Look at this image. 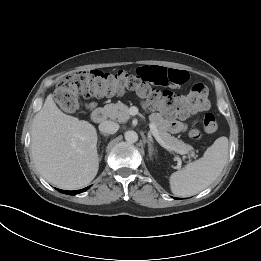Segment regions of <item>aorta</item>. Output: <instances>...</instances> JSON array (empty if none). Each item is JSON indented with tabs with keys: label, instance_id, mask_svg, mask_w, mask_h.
Segmentation results:
<instances>
[{
	"label": "aorta",
	"instance_id": "obj_1",
	"mask_svg": "<svg viewBox=\"0 0 261 261\" xmlns=\"http://www.w3.org/2000/svg\"><path fill=\"white\" fill-rule=\"evenodd\" d=\"M124 137L129 143H135L138 141V134L133 130L126 131Z\"/></svg>",
	"mask_w": 261,
	"mask_h": 261
}]
</instances>
